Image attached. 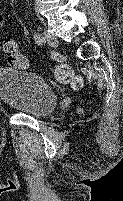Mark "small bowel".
Segmentation results:
<instances>
[{"label":"small bowel","instance_id":"small-bowel-1","mask_svg":"<svg viewBox=\"0 0 123 201\" xmlns=\"http://www.w3.org/2000/svg\"><path fill=\"white\" fill-rule=\"evenodd\" d=\"M5 22V16L2 12H0V27L4 24Z\"/></svg>","mask_w":123,"mask_h":201}]
</instances>
